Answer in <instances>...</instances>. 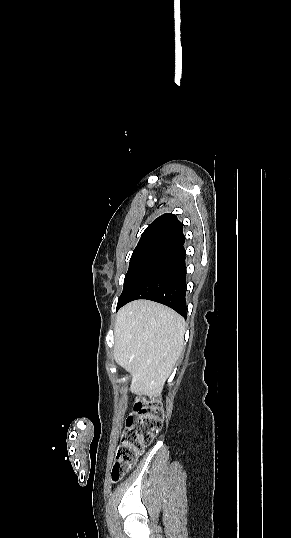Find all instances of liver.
<instances>
[{
  "label": "liver",
  "instance_id": "liver-1",
  "mask_svg": "<svg viewBox=\"0 0 291 538\" xmlns=\"http://www.w3.org/2000/svg\"><path fill=\"white\" fill-rule=\"evenodd\" d=\"M114 334V358L130 372L131 390L160 394L183 349L184 318L161 304L136 300L119 310Z\"/></svg>",
  "mask_w": 291,
  "mask_h": 538
}]
</instances>
